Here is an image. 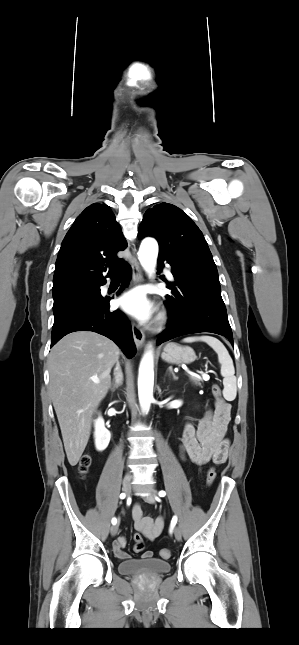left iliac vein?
I'll use <instances>...</instances> for the list:
<instances>
[{"instance_id": "4c4485c4", "label": "left iliac vein", "mask_w": 299, "mask_h": 645, "mask_svg": "<svg viewBox=\"0 0 299 645\" xmlns=\"http://www.w3.org/2000/svg\"><path fill=\"white\" fill-rule=\"evenodd\" d=\"M144 500H145L146 502L150 503V504H153V503H155L156 498H155V495H154V494H151V493H150V494H147L146 496H144ZM174 535H175V538H176L178 541H180V540H181V537H182V536H181V530H180V529H179V527H177V526H176V527H174Z\"/></svg>"}]
</instances>
